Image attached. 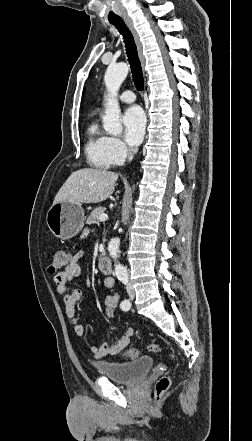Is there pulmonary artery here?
<instances>
[{
    "label": "pulmonary artery",
    "mask_w": 252,
    "mask_h": 441,
    "mask_svg": "<svg viewBox=\"0 0 252 441\" xmlns=\"http://www.w3.org/2000/svg\"><path fill=\"white\" fill-rule=\"evenodd\" d=\"M120 102L123 103H132L136 100L135 94L132 91H124L120 97H119Z\"/></svg>",
    "instance_id": "obj_1"
}]
</instances>
